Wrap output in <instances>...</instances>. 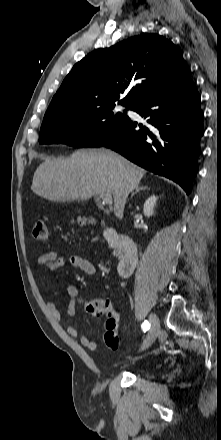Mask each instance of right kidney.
Instances as JSON below:
<instances>
[{"mask_svg": "<svg viewBox=\"0 0 221 440\" xmlns=\"http://www.w3.org/2000/svg\"><path fill=\"white\" fill-rule=\"evenodd\" d=\"M157 201V197L156 196H151L149 197L143 206V211H144V215L147 217H150L154 214V206L156 204Z\"/></svg>", "mask_w": 221, "mask_h": 440, "instance_id": "obj_1", "label": "right kidney"}]
</instances>
